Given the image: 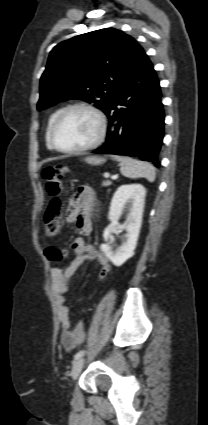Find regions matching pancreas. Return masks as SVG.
<instances>
[{"mask_svg":"<svg viewBox=\"0 0 208 425\" xmlns=\"http://www.w3.org/2000/svg\"><path fill=\"white\" fill-rule=\"evenodd\" d=\"M111 184H112V182H111V181H104V182L102 183V186L107 187V186H110Z\"/></svg>","mask_w":208,"mask_h":425,"instance_id":"1","label":"pancreas"}]
</instances>
